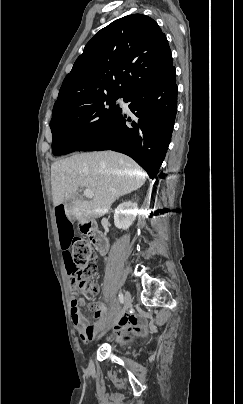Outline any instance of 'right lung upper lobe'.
Here are the masks:
<instances>
[{
    "mask_svg": "<svg viewBox=\"0 0 243 404\" xmlns=\"http://www.w3.org/2000/svg\"><path fill=\"white\" fill-rule=\"evenodd\" d=\"M173 67L166 36L152 18L132 14L101 29L65 77L53 117L102 97H125Z\"/></svg>",
    "mask_w": 243,
    "mask_h": 404,
    "instance_id": "1",
    "label": "right lung upper lobe"
}]
</instances>
